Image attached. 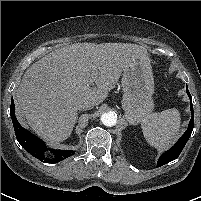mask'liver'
I'll return each mask as SVG.
<instances>
[{"mask_svg": "<svg viewBox=\"0 0 201 201\" xmlns=\"http://www.w3.org/2000/svg\"><path fill=\"white\" fill-rule=\"evenodd\" d=\"M142 53H147L145 47L129 43H76L56 49L26 70L16 90L17 109L40 137L64 141L77 121L78 103H102L122 71ZM93 82L97 87H91Z\"/></svg>", "mask_w": 201, "mask_h": 201, "instance_id": "liver-1", "label": "liver"}]
</instances>
